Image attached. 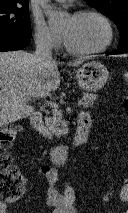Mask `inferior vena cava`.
<instances>
[{"instance_id": "1", "label": "inferior vena cava", "mask_w": 128, "mask_h": 213, "mask_svg": "<svg viewBox=\"0 0 128 213\" xmlns=\"http://www.w3.org/2000/svg\"><path fill=\"white\" fill-rule=\"evenodd\" d=\"M36 51L35 57L40 65L46 66L52 62V43L49 37L39 36L35 40Z\"/></svg>"}]
</instances>
